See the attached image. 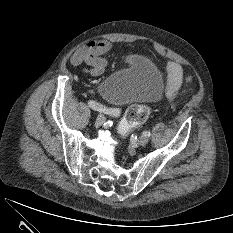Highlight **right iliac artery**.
I'll use <instances>...</instances> for the list:
<instances>
[{
    "mask_svg": "<svg viewBox=\"0 0 233 233\" xmlns=\"http://www.w3.org/2000/svg\"><path fill=\"white\" fill-rule=\"evenodd\" d=\"M88 105L99 112H102L106 115H109L111 117H118L120 115V110L118 108H111V107H106L104 105H101L95 101H89Z\"/></svg>",
    "mask_w": 233,
    "mask_h": 233,
    "instance_id": "right-iliac-artery-1",
    "label": "right iliac artery"
}]
</instances>
